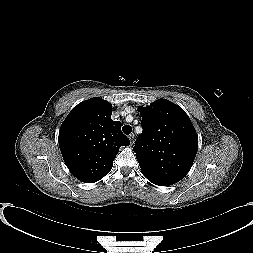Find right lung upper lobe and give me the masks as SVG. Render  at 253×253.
Here are the masks:
<instances>
[{
  "label": "right lung upper lobe",
  "mask_w": 253,
  "mask_h": 253,
  "mask_svg": "<svg viewBox=\"0 0 253 253\" xmlns=\"http://www.w3.org/2000/svg\"><path fill=\"white\" fill-rule=\"evenodd\" d=\"M109 102L94 97L75 106L59 130V146L70 172L93 183L107 175L121 146L130 144Z\"/></svg>",
  "instance_id": "obj_1"
}]
</instances>
